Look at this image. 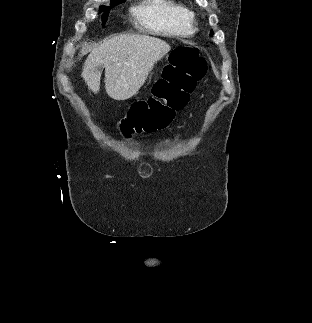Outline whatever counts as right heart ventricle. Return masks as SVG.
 Wrapping results in <instances>:
<instances>
[{
	"label": "right heart ventricle",
	"mask_w": 312,
	"mask_h": 323,
	"mask_svg": "<svg viewBox=\"0 0 312 323\" xmlns=\"http://www.w3.org/2000/svg\"><path fill=\"white\" fill-rule=\"evenodd\" d=\"M127 20H138L143 29H154L155 33H197L198 19L191 13L185 1L137 0L127 9Z\"/></svg>",
	"instance_id": "obj_1"
}]
</instances>
